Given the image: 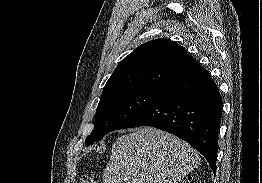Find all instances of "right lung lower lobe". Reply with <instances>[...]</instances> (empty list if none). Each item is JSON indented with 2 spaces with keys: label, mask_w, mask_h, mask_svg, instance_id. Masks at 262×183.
Returning a JSON list of instances; mask_svg holds the SVG:
<instances>
[{
  "label": "right lung lower lobe",
  "mask_w": 262,
  "mask_h": 183,
  "mask_svg": "<svg viewBox=\"0 0 262 183\" xmlns=\"http://www.w3.org/2000/svg\"><path fill=\"white\" fill-rule=\"evenodd\" d=\"M222 110L217 85L199 67L161 87L124 128L152 126L172 133L202 153L215 173Z\"/></svg>",
  "instance_id": "1"
}]
</instances>
